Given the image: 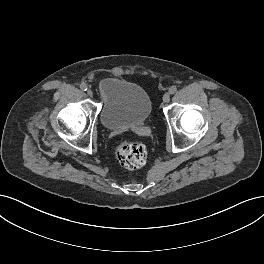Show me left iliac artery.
Returning a JSON list of instances; mask_svg holds the SVG:
<instances>
[{
    "label": "left iliac artery",
    "instance_id": "44dca946",
    "mask_svg": "<svg viewBox=\"0 0 264 264\" xmlns=\"http://www.w3.org/2000/svg\"><path fill=\"white\" fill-rule=\"evenodd\" d=\"M176 91H177V87L176 86H172L169 89L170 94H174Z\"/></svg>",
    "mask_w": 264,
    "mask_h": 264
}]
</instances>
